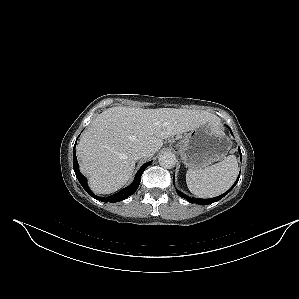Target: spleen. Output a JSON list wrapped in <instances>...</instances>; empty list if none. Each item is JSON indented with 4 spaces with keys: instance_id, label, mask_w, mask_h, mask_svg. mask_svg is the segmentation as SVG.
Segmentation results:
<instances>
[{
    "instance_id": "3e777b00",
    "label": "spleen",
    "mask_w": 299,
    "mask_h": 299,
    "mask_svg": "<svg viewBox=\"0 0 299 299\" xmlns=\"http://www.w3.org/2000/svg\"><path fill=\"white\" fill-rule=\"evenodd\" d=\"M238 175V163L234 155L204 169H189L186 183L190 192L200 198L218 196L228 190Z\"/></svg>"
}]
</instances>
